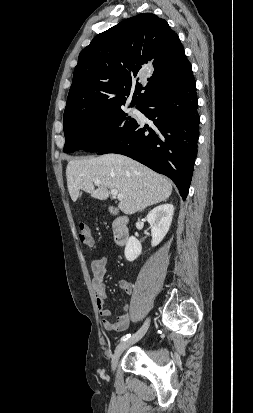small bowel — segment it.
<instances>
[{
    "mask_svg": "<svg viewBox=\"0 0 253 413\" xmlns=\"http://www.w3.org/2000/svg\"><path fill=\"white\" fill-rule=\"evenodd\" d=\"M91 271V286L95 294L99 315L102 317L103 327L107 331L112 332H122L126 330L130 323L129 304L124 305L121 314L115 321H112L110 319L111 312L105 305L107 300V291L104 278L107 273V258L105 256H101L97 259H94L91 262ZM119 287L128 295L132 293V285L127 280H120Z\"/></svg>",
    "mask_w": 253,
    "mask_h": 413,
    "instance_id": "c3829d8e",
    "label": "small bowel"
}]
</instances>
